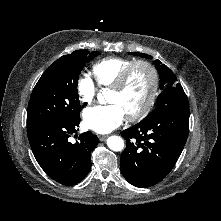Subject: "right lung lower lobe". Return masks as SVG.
I'll return each mask as SVG.
<instances>
[{"label":"right lung lower lobe","instance_id":"obj_1","mask_svg":"<svg viewBox=\"0 0 221 221\" xmlns=\"http://www.w3.org/2000/svg\"><path fill=\"white\" fill-rule=\"evenodd\" d=\"M79 123L80 118H55L27 124L29 143L38 164L63 185L78 184L86 177L91 169V151L99 142L90 131L81 134L76 143L69 142Z\"/></svg>","mask_w":221,"mask_h":221}]
</instances>
